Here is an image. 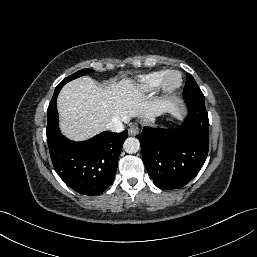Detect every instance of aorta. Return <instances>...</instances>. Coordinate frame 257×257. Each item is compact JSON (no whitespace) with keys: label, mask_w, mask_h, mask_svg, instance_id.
<instances>
[{"label":"aorta","mask_w":257,"mask_h":257,"mask_svg":"<svg viewBox=\"0 0 257 257\" xmlns=\"http://www.w3.org/2000/svg\"><path fill=\"white\" fill-rule=\"evenodd\" d=\"M123 149L129 154L136 153L140 149V142L137 138L129 137L125 140Z\"/></svg>","instance_id":"762f6f07"}]
</instances>
